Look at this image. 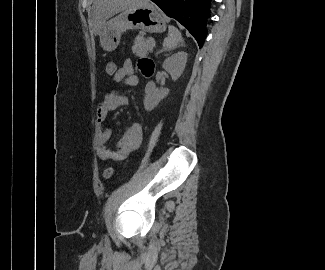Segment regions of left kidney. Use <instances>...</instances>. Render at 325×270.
Masks as SVG:
<instances>
[{
  "label": "left kidney",
  "mask_w": 325,
  "mask_h": 270,
  "mask_svg": "<svg viewBox=\"0 0 325 270\" xmlns=\"http://www.w3.org/2000/svg\"><path fill=\"white\" fill-rule=\"evenodd\" d=\"M187 62V53L178 52L165 59L162 64L164 70H166L171 78L175 81L183 73ZM169 93V89H157L153 82H148L145 87L144 107L145 110H153L159 102L165 98Z\"/></svg>",
  "instance_id": "obj_1"
}]
</instances>
